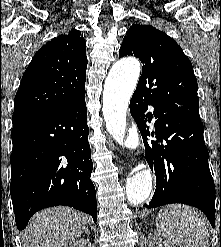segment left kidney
<instances>
[{
    "label": "left kidney",
    "mask_w": 221,
    "mask_h": 247,
    "mask_svg": "<svg viewBox=\"0 0 221 247\" xmlns=\"http://www.w3.org/2000/svg\"><path fill=\"white\" fill-rule=\"evenodd\" d=\"M162 242V238L160 236H152L149 241H148V244H149V247H154L155 244H159ZM164 246L165 247H175V246H172L170 243L168 242H164Z\"/></svg>",
    "instance_id": "obj_1"
}]
</instances>
